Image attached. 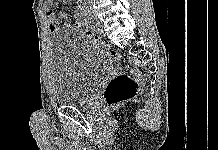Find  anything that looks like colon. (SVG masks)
I'll return each mask as SVG.
<instances>
[{"mask_svg": "<svg viewBox=\"0 0 218 150\" xmlns=\"http://www.w3.org/2000/svg\"><path fill=\"white\" fill-rule=\"evenodd\" d=\"M77 28L84 34L92 37L94 41L106 51L113 59L117 60L119 55L116 51L104 43L98 36L85 25L76 24ZM143 87V77L139 69L131 67L128 73H122L111 79L105 88V100L110 107H118L123 103L141 94Z\"/></svg>", "mask_w": 218, "mask_h": 150, "instance_id": "obj_1", "label": "colon"}]
</instances>
